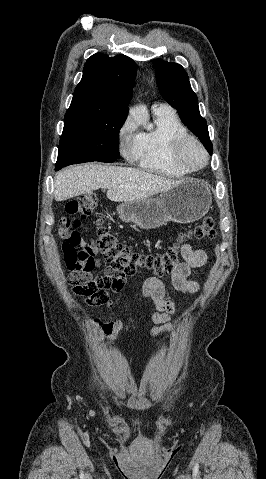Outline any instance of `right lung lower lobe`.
Here are the masks:
<instances>
[{"label": "right lung lower lobe", "mask_w": 266, "mask_h": 479, "mask_svg": "<svg viewBox=\"0 0 266 479\" xmlns=\"http://www.w3.org/2000/svg\"><path fill=\"white\" fill-rule=\"evenodd\" d=\"M62 168V166H55V170L58 171Z\"/></svg>", "instance_id": "1"}]
</instances>
